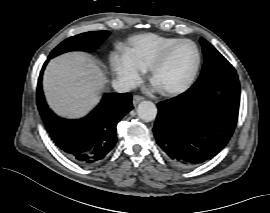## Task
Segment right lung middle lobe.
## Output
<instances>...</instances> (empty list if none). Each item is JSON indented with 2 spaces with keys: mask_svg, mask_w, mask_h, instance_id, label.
Masks as SVG:
<instances>
[{
  "mask_svg": "<svg viewBox=\"0 0 270 213\" xmlns=\"http://www.w3.org/2000/svg\"><path fill=\"white\" fill-rule=\"evenodd\" d=\"M110 32L103 31H91L82 33L73 37H70L61 42L49 55V58H53L59 54L68 51H87L93 52L98 45H100L108 36Z\"/></svg>",
  "mask_w": 270,
  "mask_h": 213,
  "instance_id": "right-lung-middle-lobe-1",
  "label": "right lung middle lobe"
}]
</instances>
